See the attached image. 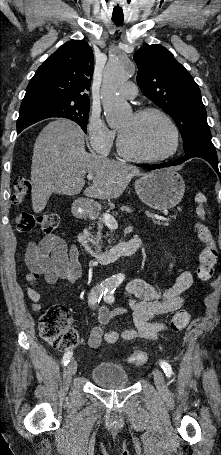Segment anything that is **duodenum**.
Instances as JSON below:
<instances>
[{
  "label": "duodenum",
  "instance_id": "410a0bca",
  "mask_svg": "<svg viewBox=\"0 0 221 455\" xmlns=\"http://www.w3.org/2000/svg\"><path fill=\"white\" fill-rule=\"evenodd\" d=\"M99 211L100 208L98 206L85 200L80 201L75 208V213L78 217L87 218L88 220H94L98 216ZM78 242L88 256L103 264L112 263L121 256L133 255L142 245V239L135 237L129 241L120 242L109 249L97 251L89 243L87 229H82L79 232Z\"/></svg>",
  "mask_w": 221,
  "mask_h": 455
}]
</instances>
